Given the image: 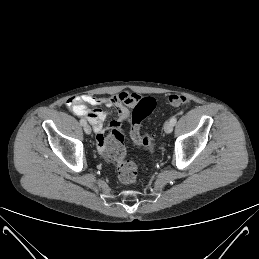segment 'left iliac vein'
<instances>
[{
	"instance_id": "1",
	"label": "left iliac vein",
	"mask_w": 259,
	"mask_h": 259,
	"mask_svg": "<svg viewBox=\"0 0 259 259\" xmlns=\"http://www.w3.org/2000/svg\"><path fill=\"white\" fill-rule=\"evenodd\" d=\"M164 131L169 134L173 131V124L170 121H166L164 124Z\"/></svg>"
}]
</instances>
